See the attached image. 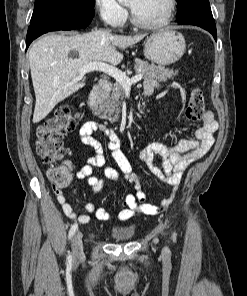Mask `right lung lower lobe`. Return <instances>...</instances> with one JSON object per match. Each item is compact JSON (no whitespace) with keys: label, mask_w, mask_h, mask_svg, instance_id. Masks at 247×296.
<instances>
[{"label":"right lung lower lobe","mask_w":247,"mask_h":296,"mask_svg":"<svg viewBox=\"0 0 247 296\" xmlns=\"http://www.w3.org/2000/svg\"><path fill=\"white\" fill-rule=\"evenodd\" d=\"M93 16L94 13L70 16L62 8H57L41 17L33 19L30 21L27 32L26 49L34 39L49 31L85 28L89 25Z\"/></svg>","instance_id":"obj_1"}]
</instances>
